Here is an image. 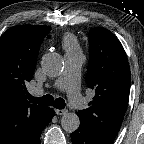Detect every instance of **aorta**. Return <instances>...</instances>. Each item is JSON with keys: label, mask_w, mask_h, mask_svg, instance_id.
I'll return each instance as SVG.
<instances>
[{"label": "aorta", "mask_w": 144, "mask_h": 144, "mask_svg": "<svg viewBox=\"0 0 144 144\" xmlns=\"http://www.w3.org/2000/svg\"><path fill=\"white\" fill-rule=\"evenodd\" d=\"M43 71L50 77L59 76L64 68L62 57L57 53H48L41 61ZM80 120L76 113L70 112L62 116L61 126L67 132H74L79 128Z\"/></svg>", "instance_id": "762f6f07"}]
</instances>
